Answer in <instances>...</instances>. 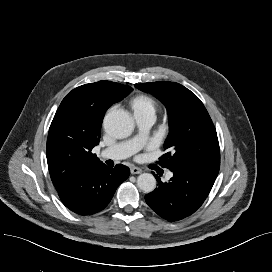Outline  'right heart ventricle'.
Segmentation results:
<instances>
[{"mask_svg":"<svg viewBox=\"0 0 272 272\" xmlns=\"http://www.w3.org/2000/svg\"><path fill=\"white\" fill-rule=\"evenodd\" d=\"M130 106L134 112V116H154L157 111V101L150 95L147 94H140L134 97L131 102Z\"/></svg>","mask_w":272,"mask_h":272,"instance_id":"obj_1","label":"right heart ventricle"}]
</instances>
